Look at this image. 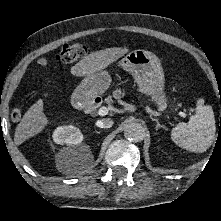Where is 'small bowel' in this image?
<instances>
[{
    "instance_id": "c3829d8e",
    "label": "small bowel",
    "mask_w": 221,
    "mask_h": 221,
    "mask_svg": "<svg viewBox=\"0 0 221 221\" xmlns=\"http://www.w3.org/2000/svg\"><path fill=\"white\" fill-rule=\"evenodd\" d=\"M42 64H46V61H45V60H42Z\"/></svg>"
}]
</instances>
